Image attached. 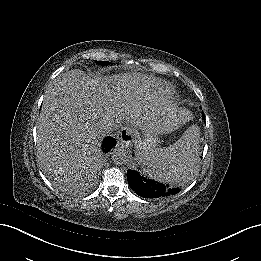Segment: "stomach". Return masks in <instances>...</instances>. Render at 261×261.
<instances>
[{"mask_svg": "<svg viewBox=\"0 0 261 261\" xmlns=\"http://www.w3.org/2000/svg\"><path fill=\"white\" fill-rule=\"evenodd\" d=\"M151 119L152 120H149V122L147 123L148 128L143 130V138L138 137L135 141L136 155L139 162L141 158H143L144 155L155 148L158 143V139L154 129L158 124L157 120L159 118L155 116V118L151 117Z\"/></svg>", "mask_w": 261, "mask_h": 261, "instance_id": "stomach-1", "label": "stomach"}]
</instances>
